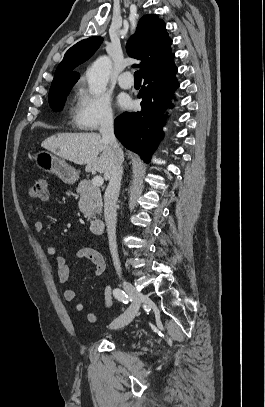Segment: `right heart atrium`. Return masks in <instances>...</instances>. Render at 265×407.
I'll return each instance as SVG.
<instances>
[{"mask_svg":"<svg viewBox=\"0 0 265 407\" xmlns=\"http://www.w3.org/2000/svg\"><path fill=\"white\" fill-rule=\"evenodd\" d=\"M114 120L109 99L103 94L90 93L83 84H80L74 123L79 128L93 131L112 125Z\"/></svg>","mask_w":265,"mask_h":407,"instance_id":"right-heart-atrium-1","label":"right heart atrium"}]
</instances>
